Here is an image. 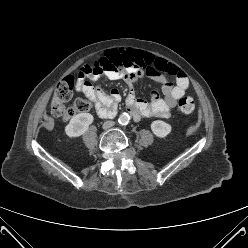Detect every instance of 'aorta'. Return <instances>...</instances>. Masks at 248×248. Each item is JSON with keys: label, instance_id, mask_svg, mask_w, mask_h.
<instances>
[{"label": "aorta", "instance_id": "obj_1", "mask_svg": "<svg viewBox=\"0 0 248 248\" xmlns=\"http://www.w3.org/2000/svg\"><path fill=\"white\" fill-rule=\"evenodd\" d=\"M129 120H130L129 115H128L127 113H122V114L119 116L118 122H119V124H121V125H126V124H128Z\"/></svg>", "mask_w": 248, "mask_h": 248}]
</instances>
